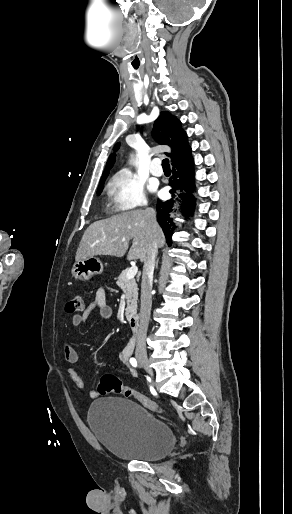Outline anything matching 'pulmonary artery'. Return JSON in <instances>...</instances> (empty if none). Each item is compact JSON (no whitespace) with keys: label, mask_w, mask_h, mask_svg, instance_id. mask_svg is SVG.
Returning a JSON list of instances; mask_svg holds the SVG:
<instances>
[{"label":"pulmonary artery","mask_w":292,"mask_h":514,"mask_svg":"<svg viewBox=\"0 0 292 514\" xmlns=\"http://www.w3.org/2000/svg\"><path fill=\"white\" fill-rule=\"evenodd\" d=\"M150 163H151L150 168L152 169V174L155 176H160L161 172L158 170H155L157 168V164L159 163V160L156 157H153L150 160Z\"/></svg>","instance_id":"pulmonary-artery-1"}]
</instances>
